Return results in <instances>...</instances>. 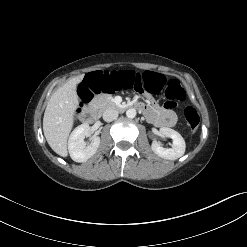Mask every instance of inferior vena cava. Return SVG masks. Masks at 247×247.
<instances>
[{
  "mask_svg": "<svg viewBox=\"0 0 247 247\" xmlns=\"http://www.w3.org/2000/svg\"><path fill=\"white\" fill-rule=\"evenodd\" d=\"M118 117V112L115 109H106L103 113V119L106 122H111Z\"/></svg>",
  "mask_w": 247,
  "mask_h": 247,
  "instance_id": "obj_1",
  "label": "inferior vena cava"
}]
</instances>
